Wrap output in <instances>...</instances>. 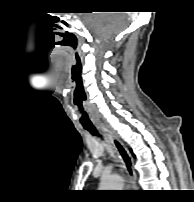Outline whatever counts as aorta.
Here are the masks:
<instances>
[{
	"label": "aorta",
	"mask_w": 194,
	"mask_h": 202,
	"mask_svg": "<svg viewBox=\"0 0 194 202\" xmlns=\"http://www.w3.org/2000/svg\"><path fill=\"white\" fill-rule=\"evenodd\" d=\"M100 190H122L123 179L117 175L103 176L100 181Z\"/></svg>",
	"instance_id": "obj_1"
}]
</instances>
